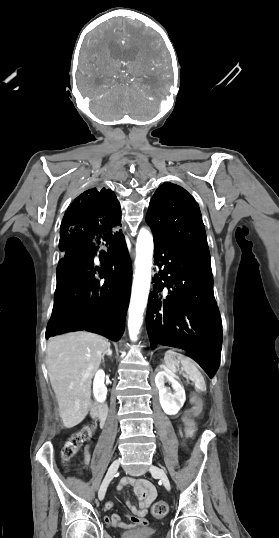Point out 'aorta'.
Listing matches in <instances>:
<instances>
[{
    "label": "aorta",
    "instance_id": "aorta-1",
    "mask_svg": "<svg viewBox=\"0 0 279 538\" xmlns=\"http://www.w3.org/2000/svg\"><path fill=\"white\" fill-rule=\"evenodd\" d=\"M153 236L142 228L137 237L135 275L129 305L128 330L130 339L137 340L143 322V313L147 306L151 283V267L153 256Z\"/></svg>",
    "mask_w": 279,
    "mask_h": 538
}]
</instances>
